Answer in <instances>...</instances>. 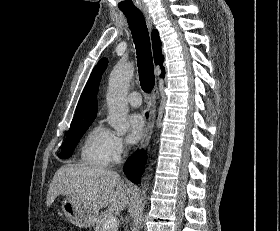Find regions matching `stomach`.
<instances>
[{
  "instance_id": "stomach-1",
  "label": "stomach",
  "mask_w": 280,
  "mask_h": 231,
  "mask_svg": "<svg viewBox=\"0 0 280 231\" xmlns=\"http://www.w3.org/2000/svg\"><path fill=\"white\" fill-rule=\"evenodd\" d=\"M62 211L67 219L77 227H90L96 221L92 207H87L82 201L71 199V197L63 199Z\"/></svg>"
}]
</instances>
